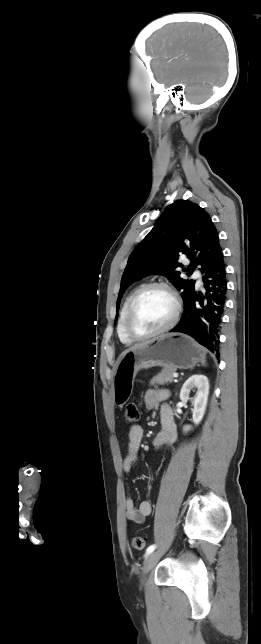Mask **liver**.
Wrapping results in <instances>:
<instances>
[{"mask_svg":"<svg viewBox=\"0 0 261 644\" xmlns=\"http://www.w3.org/2000/svg\"><path fill=\"white\" fill-rule=\"evenodd\" d=\"M148 343H149V341L144 342V343H141V344H137V345H135V346H133V347L129 348L128 350L124 351L122 355H124L125 353H127V352H129V351H132V350H135V349L141 348V347L145 346V345H146V344H148Z\"/></svg>","mask_w":261,"mask_h":644,"instance_id":"6515ba94","label":"liver"}]
</instances>
